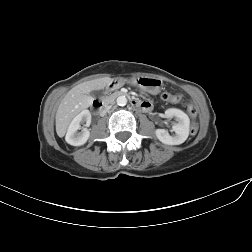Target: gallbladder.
Listing matches in <instances>:
<instances>
[{
  "instance_id": "obj_1",
  "label": "gallbladder",
  "mask_w": 252,
  "mask_h": 252,
  "mask_svg": "<svg viewBox=\"0 0 252 252\" xmlns=\"http://www.w3.org/2000/svg\"><path fill=\"white\" fill-rule=\"evenodd\" d=\"M91 95H92L93 97H97L98 95H100V91H92V92H91Z\"/></svg>"
}]
</instances>
